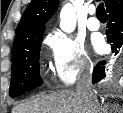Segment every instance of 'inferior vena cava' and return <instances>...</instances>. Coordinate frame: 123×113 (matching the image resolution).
<instances>
[{"instance_id":"602c4592","label":"inferior vena cava","mask_w":123,"mask_h":113,"mask_svg":"<svg viewBox=\"0 0 123 113\" xmlns=\"http://www.w3.org/2000/svg\"><path fill=\"white\" fill-rule=\"evenodd\" d=\"M76 92L88 106V113H101L95 93L92 89V66L88 65L79 76Z\"/></svg>"}]
</instances>
